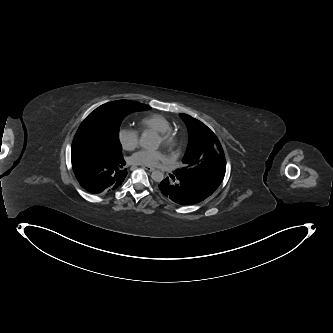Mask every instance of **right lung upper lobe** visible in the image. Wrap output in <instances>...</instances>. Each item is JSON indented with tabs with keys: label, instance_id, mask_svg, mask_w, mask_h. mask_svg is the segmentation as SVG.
I'll return each mask as SVG.
<instances>
[{
	"label": "right lung upper lobe",
	"instance_id": "1",
	"mask_svg": "<svg viewBox=\"0 0 333 333\" xmlns=\"http://www.w3.org/2000/svg\"><path fill=\"white\" fill-rule=\"evenodd\" d=\"M135 103H137V105L139 106V111L150 109V107L147 105H144V104H141L138 102H135Z\"/></svg>",
	"mask_w": 333,
	"mask_h": 333
}]
</instances>
